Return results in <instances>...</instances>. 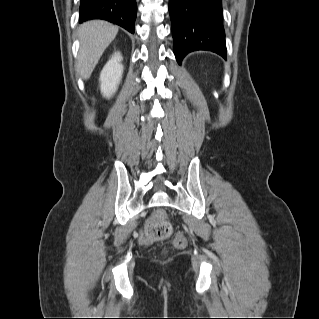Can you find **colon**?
<instances>
[{
	"label": "colon",
	"mask_w": 319,
	"mask_h": 319,
	"mask_svg": "<svg viewBox=\"0 0 319 319\" xmlns=\"http://www.w3.org/2000/svg\"><path fill=\"white\" fill-rule=\"evenodd\" d=\"M147 229L152 240L160 242L168 239L172 234V224L165 217L163 211L157 212L150 218L147 224ZM173 246L184 248L186 246V238L182 233H178L172 239Z\"/></svg>",
	"instance_id": "obj_1"
}]
</instances>
